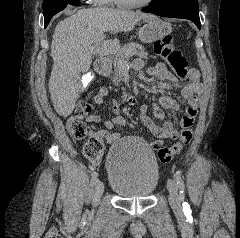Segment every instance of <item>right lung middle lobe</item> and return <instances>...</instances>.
<instances>
[{"label":"right lung middle lobe","instance_id":"1","mask_svg":"<svg viewBox=\"0 0 240 238\" xmlns=\"http://www.w3.org/2000/svg\"><path fill=\"white\" fill-rule=\"evenodd\" d=\"M68 4L77 5L79 0H43V14L45 27L48 25L51 18L63 10Z\"/></svg>","mask_w":240,"mask_h":238}]
</instances>
